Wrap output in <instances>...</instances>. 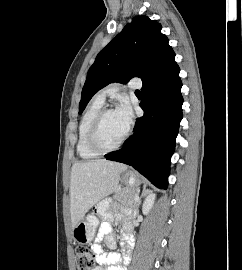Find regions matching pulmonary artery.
<instances>
[{
	"label": "pulmonary artery",
	"mask_w": 242,
	"mask_h": 270,
	"mask_svg": "<svg viewBox=\"0 0 242 270\" xmlns=\"http://www.w3.org/2000/svg\"><path fill=\"white\" fill-rule=\"evenodd\" d=\"M142 86L141 81L138 79H131L127 84V87L130 89H140ZM118 91V87L116 85H110L109 87L101 90L95 97V99L104 102L108 95H111Z\"/></svg>",
	"instance_id": "obj_1"
}]
</instances>
